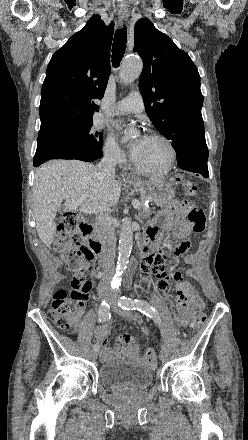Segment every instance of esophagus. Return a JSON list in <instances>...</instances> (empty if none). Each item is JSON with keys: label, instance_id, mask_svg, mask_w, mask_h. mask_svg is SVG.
Instances as JSON below:
<instances>
[{"label": "esophagus", "instance_id": "1", "mask_svg": "<svg viewBox=\"0 0 248 440\" xmlns=\"http://www.w3.org/2000/svg\"><path fill=\"white\" fill-rule=\"evenodd\" d=\"M119 16L122 19H127L129 17V12L127 10H119ZM126 179H131L130 175H126Z\"/></svg>", "mask_w": 248, "mask_h": 440}]
</instances>
